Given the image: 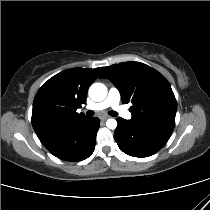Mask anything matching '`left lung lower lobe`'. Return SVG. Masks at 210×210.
<instances>
[{"label":"left lung lower lobe","instance_id":"0a47b994","mask_svg":"<svg viewBox=\"0 0 210 210\" xmlns=\"http://www.w3.org/2000/svg\"><path fill=\"white\" fill-rule=\"evenodd\" d=\"M114 138L119 148L133 157H148L160 150L169 140L172 132L154 127L131 124L121 117Z\"/></svg>","mask_w":210,"mask_h":210}]
</instances>
